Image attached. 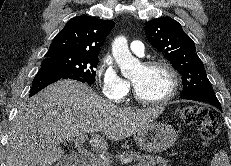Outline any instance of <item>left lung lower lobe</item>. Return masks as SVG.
Listing matches in <instances>:
<instances>
[{
	"label": "left lung lower lobe",
	"mask_w": 231,
	"mask_h": 166,
	"mask_svg": "<svg viewBox=\"0 0 231 166\" xmlns=\"http://www.w3.org/2000/svg\"><path fill=\"white\" fill-rule=\"evenodd\" d=\"M187 100H195V101H201L206 102L214 105L217 107L220 111H222L221 104L219 103L217 97L215 95H209V96H191L187 98H183Z\"/></svg>",
	"instance_id": "0a47b994"
}]
</instances>
